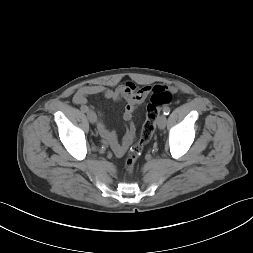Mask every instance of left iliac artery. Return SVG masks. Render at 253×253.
Returning <instances> with one entry per match:
<instances>
[{"label":"left iliac artery","mask_w":253,"mask_h":253,"mask_svg":"<svg viewBox=\"0 0 253 253\" xmlns=\"http://www.w3.org/2000/svg\"><path fill=\"white\" fill-rule=\"evenodd\" d=\"M163 113H164L165 115H168V114L170 113V108H169V107H165V108L163 109Z\"/></svg>","instance_id":"left-iliac-artery-1"}]
</instances>
